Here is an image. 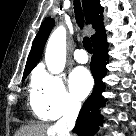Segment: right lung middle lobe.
Instances as JSON below:
<instances>
[{
    "instance_id": "right-lung-middle-lobe-1",
    "label": "right lung middle lobe",
    "mask_w": 136,
    "mask_h": 136,
    "mask_svg": "<svg viewBox=\"0 0 136 136\" xmlns=\"http://www.w3.org/2000/svg\"><path fill=\"white\" fill-rule=\"evenodd\" d=\"M27 75H28V74H25V75L23 76V80L27 77Z\"/></svg>"
}]
</instances>
